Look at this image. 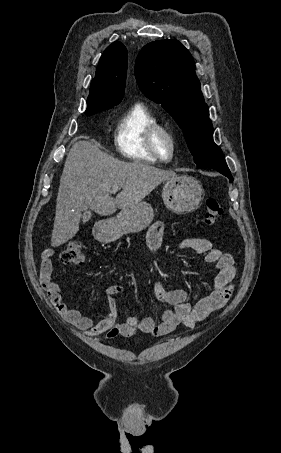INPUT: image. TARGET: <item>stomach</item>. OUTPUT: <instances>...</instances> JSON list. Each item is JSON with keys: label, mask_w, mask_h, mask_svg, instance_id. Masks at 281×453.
<instances>
[{"label": "stomach", "mask_w": 281, "mask_h": 453, "mask_svg": "<svg viewBox=\"0 0 281 453\" xmlns=\"http://www.w3.org/2000/svg\"><path fill=\"white\" fill-rule=\"evenodd\" d=\"M162 198L169 210L177 212V214H184V212H193L198 208L204 198V190L197 178L182 174V176L165 180ZM153 218L154 212L151 204L137 202L135 206L122 208L115 218H107L97 224L94 235L101 243H111L122 235L141 233L149 227Z\"/></svg>", "instance_id": "obj_1"}]
</instances>
